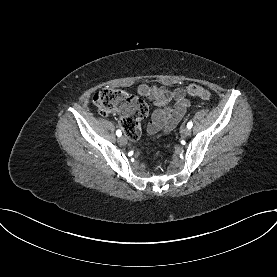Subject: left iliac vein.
I'll return each instance as SVG.
<instances>
[{"label":"left iliac vein","instance_id":"obj_1","mask_svg":"<svg viewBox=\"0 0 277 277\" xmlns=\"http://www.w3.org/2000/svg\"><path fill=\"white\" fill-rule=\"evenodd\" d=\"M191 134V130L189 128L182 129V135L187 137Z\"/></svg>","mask_w":277,"mask_h":277}]
</instances>
